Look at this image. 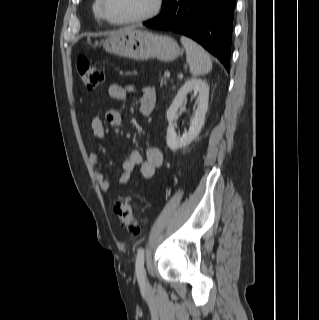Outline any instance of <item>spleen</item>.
<instances>
[{"instance_id": "obj_1", "label": "spleen", "mask_w": 319, "mask_h": 320, "mask_svg": "<svg viewBox=\"0 0 319 320\" xmlns=\"http://www.w3.org/2000/svg\"><path fill=\"white\" fill-rule=\"evenodd\" d=\"M180 41L186 49V60L193 76L205 75L212 69V61L209 54L192 39L181 36Z\"/></svg>"}]
</instances>
